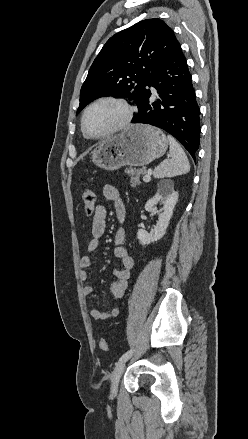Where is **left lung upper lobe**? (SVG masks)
Segmentation results:
<instances>
[{"label":"left lung upper lobe","mask_w":248,"mask_h":439,"mask_svg":"<svg viewBox=\"0 0 248 439\" xmlns=\"http://www.w3.org/2000/svg\"><path fill=\"white\" fill-rule=\"evenodd\" d=\"M177 42L172 29L158 18L140 21L112 36L90 67L77 113L105 96L127 98L139 109L151 77Z\"/></svg>","instance_id":"5c2ea615"}]
</instances>
